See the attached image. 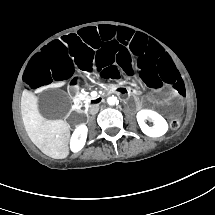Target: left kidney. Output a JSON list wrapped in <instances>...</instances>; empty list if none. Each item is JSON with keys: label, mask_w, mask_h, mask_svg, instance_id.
Returning <instances> with one entry per match:
<instances>
[{"label": "left kidney", "mask_w": 215, "mask_h": 215, "mask_svg": "<svg viewBox=\"0 0 215 215\" xmlns=\"http://www.w3.org/2000/svg\"><path fill=\"white\" fill-rule=\"evenodd\" d=\"M145 120H150L154 123L149 127ZM137 121L143 133L151 137H159L166 133L168 129L165 119L155 111L141 110L137 113Z\"/></svg>", "instance_id": "left-kidney-1"}]
</instances>
